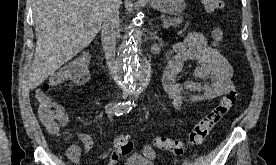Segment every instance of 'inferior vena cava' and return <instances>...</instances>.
Listing matches in <instances>:
<instances>
[{"label": "inferior vena cava", "instance_id": "1", "mask_svg": "<svg viewBox=\"0 0 276 165\" xmlns=\"http://www.w3.org/2000/svg\"><path fill=\"white\" fill-rule=\"evenodd\" d=\"M102 28V44L105 57L109 69L114 71L116 66V39L120 34L119 0H105Z\"/></svg>", "mask_w": 276, "mask_h": 165}]
</instances>
